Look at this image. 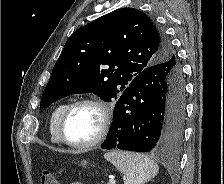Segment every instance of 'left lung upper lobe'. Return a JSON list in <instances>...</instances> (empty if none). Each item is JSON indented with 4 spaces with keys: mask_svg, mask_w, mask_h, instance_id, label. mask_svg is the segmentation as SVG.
<instances>
[{
    "mask_svg": "<svg viewBox=\"0 0 224 184\" xmlns=\"http://www.w3.org/2000/svg\"><path fill=\"white\" fill-rule=\"evenodd\" d=\"M175 59L170 43L141 11L121 8L75 31L42 94L41 108L71 94L118 99L144 69Z\"/></svg>",
    "mask_w": 224,
    "mask_h": 184,
    "instance_id": "obj_1",
    "label": "left lung upper lobe"
}]
</instances>
